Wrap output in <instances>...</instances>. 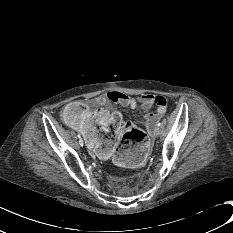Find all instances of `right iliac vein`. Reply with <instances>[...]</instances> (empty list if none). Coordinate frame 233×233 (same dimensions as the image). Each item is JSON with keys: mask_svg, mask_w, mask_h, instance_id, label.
<instances>
[{"mask_svg": "<svg viewBox=\"0 0 233 233\" xmlns=\"http://www.w3.org/2000/svg\"><path fill=\"white\" fill-rule=\"evenodd\" d=\"M79 144H80L81 146H83V145H84V142H83V140H82V139H79Z\"/></svg>", "mask_w": 233, "mask_h": 233, "instance_id": "1", "label": "right iliac vein"}]
</instances>
